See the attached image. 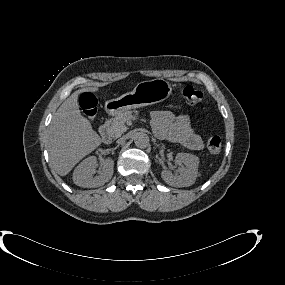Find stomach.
<instances>
[{"mask_svg": "<svg viewBox=\"0 0 285 285\" xmlns=\"http://www.w3.org/2000/svg\"><path fill=\"white\" fill-rule=\"evenodd\" d=\"M172 93V86L164 79L156 78L139 82L132 92L106 101L109 115L120 114L131 109L153 105L166 100Z\"/></svg>", "mask_w": 285, "mask_h": 285, "instance_id": "stomach-1", "label": "stomach"}]
</instances>
